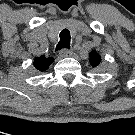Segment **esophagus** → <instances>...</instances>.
<instances>
[{"mask_svg":"<svg viewBox=\"0 0 135 135\" xmlns=\"http://www.w3.org/2000/svg\"><path fill=\"white\" fill-rule=\"evenodd\" d=\"M73 54L71 49H63L59 52V57L64 58V57H69Z\"/></svg>","mask_w":135,"mask_h":135,"instance_id":"obj_1","label":"esophagus"}]
</instances>
